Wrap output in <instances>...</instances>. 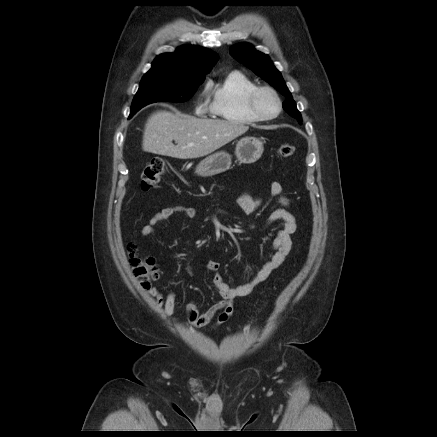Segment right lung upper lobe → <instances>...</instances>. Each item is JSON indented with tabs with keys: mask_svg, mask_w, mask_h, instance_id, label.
<instances>
[{
	"mask_svg": "<svg viewBox=\"0 0 437 437\" xmlns=\"http://www.w3.org/2000/svg\"><path fill=\"white\" fill-rule=\"evenodd\" d=\"M218 55L197 46H182L174 53H164L156 57L148 73L163 72L184 80L205 79Z\"/></svg>",
	"mask_w": 437,
	"mask_h": 437,
	"instance_id": "cb5924a9",
	"label": "right lung upper lobe"
}]
</instances>
